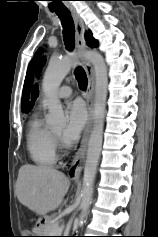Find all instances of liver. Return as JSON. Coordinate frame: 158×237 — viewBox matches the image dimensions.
Segmentation results:
<instances>
[{"instance_id":"obj_1","label":"liver","mask_w":158,"mask_h":237,"mask_svg":"<svg viewBox=\"0 0 158 237\" xmlns=\"http://www.w3.org/2000/svg\"><path fill=\"white\" fill-rule=\"evenodd\" d=\"M69 186L70 182L62 172L25 164L19 169L15 194L21 204L44 215L61 205Z\"/></svg>"}]
</instances>
